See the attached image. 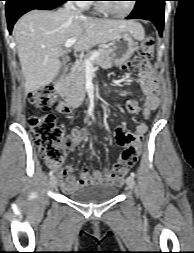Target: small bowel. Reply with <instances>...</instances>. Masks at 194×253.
<instances>
[{
    "label": "small bowel",
    "instance_id": "obj_1",
    "mask_svg": "<svg viewBox=\"0 0 194 253\" xmlns=\"http://www.w3.org/2000/svg\"><path fill=\"white\" fill-rule=\"evenodd\" d=\"M156 69L149 68V64L144 62L138 70L139 80L145 95L143 107L140 108L136 101H130L127 104V110L131 114H137L141 111L142 116L148 119L151 116L152 111L156 110L160 104L159 87L156 80L151 74H156ZM131 100V99H130ZM148 131V125L141 122L137 125L135 132H130L123 127H117L114 131L116 142L119 146L135 148L138 153L142 148V141L144 135ZM92 136L94 139L95 135H92L88 131H75L72 136H68L64 139V146L69 151H74L75 148ZM49 167L53 168L58 175L59 184L63 192L71 193L79 188L93 183L99 184H119L122 181V176L127 172L125 170L120 177H115L109 170L101 172L95 170L90 173L87 168L81 171L80 178H76L73 174L72 166L59 167L51 162L47 161Z\"/></svg>",
    "mask_w": 194,
    "mask_h": 253
}]
</instances>
